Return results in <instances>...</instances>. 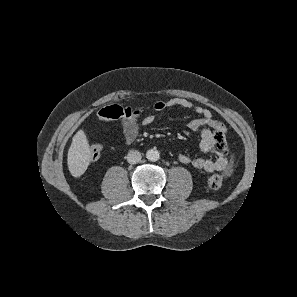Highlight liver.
<instances>
[{
	"instance_id": "1",
	"label": "liver",
	"mask_w": 297,
	"mask_h": 297,
	"mask_svg": "<svg viewBox=\"0 0 297 297\" xmlns=\"http://www.w3.org/2000/svg\"><path fill=\"white\" fill-rule=\"evenodd\" d=\"M91 150L83 130H78L73 136L71 146L68 150V169L73 177L81 176L91 161Z\"/></svg>"
}]
</instances>
